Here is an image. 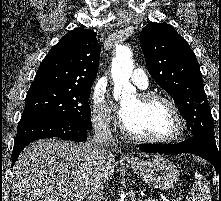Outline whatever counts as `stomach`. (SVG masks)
<instances>
[{"mask_svg": "<svg viewBox=\"0 0 221 201\" xmlns=\"http://www.w3.org/2000/svg\"><path fill=\"white\" fill-rule=\"evenodd\" d=\"M126 166L138 174L146 184L159 190L175 187L180 176L175 165L160 155H152L148 160L136 163L128 162Z\"/></svg>", "mask_w": 221, "mask_h": 201, "instance_id": "obj_1", "label": "stomach"}]
</instances>
